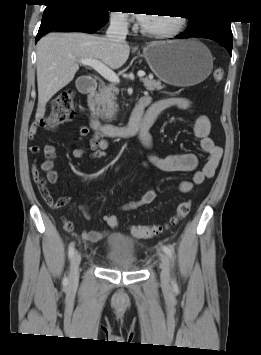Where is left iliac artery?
Segmentation results:
<instances>
[{
    "mask_svg": "<svg viewBox=\"0 0 261 355\" xmlns=\"http://www.w3.org/2000/svg\"><path fill=\"white\" fill-rule=\"evenodd\" d=\"M162 249L163 251L167 254V256L171 259V261L173 262L174 264V255H173V249L169 246H162ZM173 285L175 286L176 285V281L175 279L172 281Z\"/></svg>",
    "mask_w": 261,
    "mask_h": 355,
    "instance_id": "44dca946",
    "label": "left iliac artery"
}]
</instances>
